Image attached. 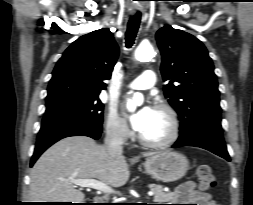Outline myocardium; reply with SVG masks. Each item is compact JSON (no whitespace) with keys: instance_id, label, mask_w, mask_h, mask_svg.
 Segmentation results:
<instances>
[{"instance_id":"myocardium-1","label":"myocardium","mask_w":253,"mask_h":205,"mask_svg":"<svg viewBox=\"0 0 253 205\" xmlns=\"http://www.w3.org/2000/svg\"><path fill=\"white\" fill-rule=\"evenodd\" d=\"M154 109L160 110L166 114L170 123V132L166 138L162 140H158V141H151V140L145 139L140 134H138L137 136L138 141L142 145L149 148L167 147L173 144L180 135L181 124H180L179 116L176 110L167 103H158L155 105Z\"/></svg>"}]
</instances>
